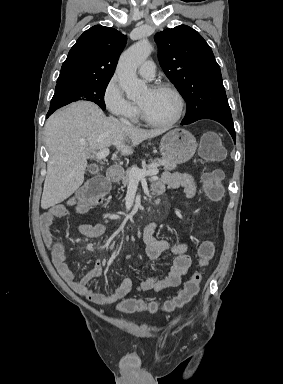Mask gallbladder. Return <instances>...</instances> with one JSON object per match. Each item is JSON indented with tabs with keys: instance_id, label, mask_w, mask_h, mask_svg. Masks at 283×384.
Masks as SVG:
<instances>
[{
	"instance_id": "gallbladder-1",
	"label": "gallbladder",
	"mask_w": 283,
	"mask_h": 384,
	"mask_svg": "<svg viewBox=\"0 0 283 384\" xmlns=\"http://www.w3.org/2000/svg\"><path fill=\"white\" fill-rule=\"evenodd\" d=\"M90 170H91L92 172H100V171H101V166H100V165H92V166L90 167Z\"/></svg>"
}]
</instances>
